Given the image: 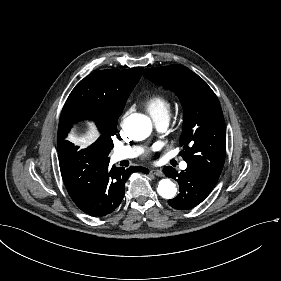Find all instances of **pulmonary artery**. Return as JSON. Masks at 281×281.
Wrapping results in <instances>:
<instances>
[{
	"label": "pulmonary artery",
	"mask_w": 281,
	"mask_h": 281,
	"mask_svg": "<svg viewBox=\"0 0 281 281\" xmlns=\"http://www.w3.org/2000/svg\"><path fill=\"white\" fill-rule=\"evenodd\" d=\"M155 123L158 127L160 128H165L167 123H168V117L167 116H161L155 118ZM138 150L136 148H130V147H117L113 150L112 152V161L113 162H118L126 159H131L135 156H137ZM180 168L182 170L187 169V163L182 162L180 165Z\"/></svg>",
	"instance_id": "pulmonary-artery-1"
}]
</instances>
